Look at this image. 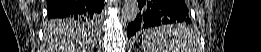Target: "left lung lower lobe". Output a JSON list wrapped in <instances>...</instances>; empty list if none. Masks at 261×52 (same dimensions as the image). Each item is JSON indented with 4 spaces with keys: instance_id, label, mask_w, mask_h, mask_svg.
Here are the masks:
<instances>
[{
    "instance_id": "left-lung-lower-lobe-1",
    "label": "left lung lower lobe",
    "mask_w": 261,
    "mask_h": 52,
    "mask_svg": "<svg viewBox=\"0 0 261 52\" xmlns=\"http://www.w3.org/2000/svg\"><path fill=\"white\" fill-rule=\"evenodd\" d=\"M138 4L140 12L135 21L128 24V38L140 29L171 23H183L185 33L189 34L186 24L191 21L184 0H139Z\"/></svg>"
}]
</instances>
